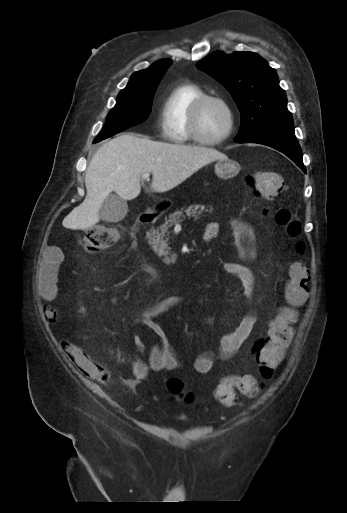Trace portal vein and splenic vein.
I'll return each mask as SVG.
<instances>
[{
	"instance_id": "portal-vein-and-splenic-vein-1",
	"label": "portal vein and splenic vein",
	"mask_w": 347,
	"mask_h": 513,
	"mask_svg": "<svg viewBox=\"0 0 347 513\" xmlns=\"http://www.w3.org/2000/svg\"><path fill=\"white\" fill-rule=\"evenodd\" d=\"M149 173H145L142 178L148 180L149 179ZM175 226H180L179 224H176Z\"/></svg>"
}]
</instances>
